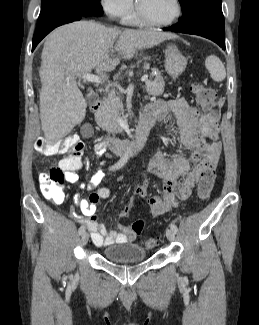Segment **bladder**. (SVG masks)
<instances>
[{
  "label": "bladder",
  "instance_id": "bladder-1",
  "mask_svg": "<svg viewBox=\"0 0 259 325\" xmlns=\"http://www.w3.org/2000/svg\"><path fill=\"white\" fill-rule=\"evenodd\" d=\"M104 257L114 263H136L145 260L147 252L137 243L112 244L104 248Z\"/></svg>",
  "mask_w": 259,
  "mask_h": 325
}]
</instances>
